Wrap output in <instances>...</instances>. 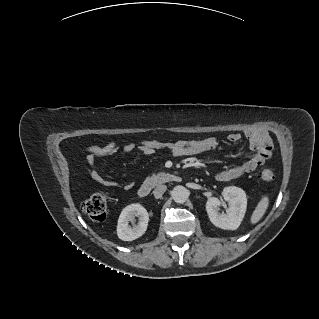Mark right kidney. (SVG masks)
<instances>
[{
    "mask_svg": "<svg viewBox=\"0 0 319 319\" xmlns=\"http://www.w3.org/2000/svg\"><path fill=\"white\" fill-rule=\"evenodd\" d=\"M135 217H139L138 224L133 225V227L129 226V222L134 224ZM148 221V212L141 204H130L121 211L118 219L117 235L123 241H133L145 233Z\"/></svg>",
    "mask_w": 319,
    "mask_h": 319,
    "instance_id": "ca27d5eb",
    "label": "right kidney"
}]
</instances>
